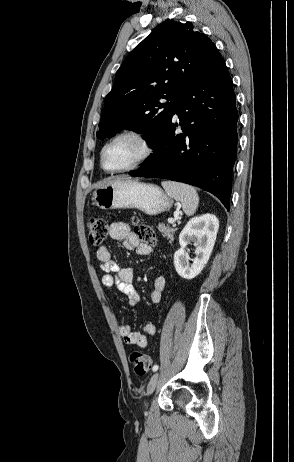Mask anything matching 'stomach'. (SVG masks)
I'll return each instance as SVG.
<instances>
[{
  "label": "stomach",
  "mask_w": 294,
  "mask_h": 462,
  "mask_svg": "<svg viewBox=\"0 0 294 462\" xmlns=\"http://www.w3.org/2000/svg\"><path fill=\"white\" fill-rule=\"evenodd\" d=\"M93 200L101 209L137 208L148 215L169 210L172 200L154 185L133 179H115L96 189Z\"/></svg>",
  "instance_id": "1"
}]
</instances>
